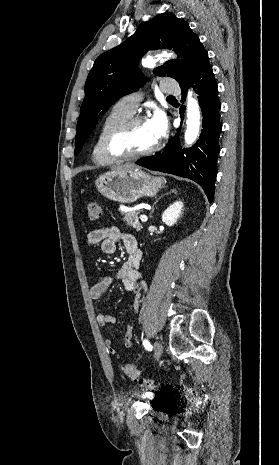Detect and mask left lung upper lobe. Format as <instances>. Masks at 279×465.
I'll use <instances>...</instances> for the list:
<instances>
[{"instance_id":"1","label":"left lung upper lobe","mask_w":279,"mask_h":465,"mask_svg":"<svg viewBox=\"0 0 279 465\" xmlns=\"http://www.w3.org/2000/svg\"><path fill=\"white\" fill-rule=\"evenodd\" d=\"M151 48H173L181 57L177 62L168 61L154 70L155 75L169 76L179 83L190 76L206 52L187 22L172 13H163L140 24L125 42L100 55L86 80L85 98L76 127L75 154L82 149L99 115L144 83L137 63Z\"/></svg>"}]
</instances>
